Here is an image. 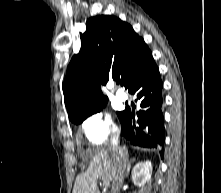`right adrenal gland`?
Here are the masks:
<instances>
[{
	"mask_svg": "<svg viewBox=\"0 0 221 193\" xmlns=\"http://www.w3.org/2000/svg\"><path fill=\"white\" fill-rule=\"evenodd\" d=\"M132 162H135V158H132L131 160H127V168H126L125 177H128V175L130 173L131 163Z\"/></svg>",
	"mask_w": 221,
	"mask_h": 193,
	"instance_id": "1",
	"label": "right adrenal gland"
}]
</instances>
